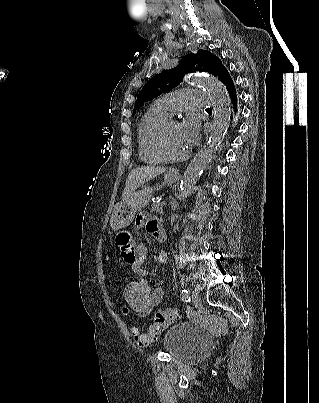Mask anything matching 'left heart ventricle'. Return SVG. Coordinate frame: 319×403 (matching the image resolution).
Instances as JSON below:
<instances>
[{"instance_id":"left-heart-ventricle-1","label":"left heart ventricle","mask_w":319,"mask_h":403,"mask_svg":"<svg viewBox=\"0 0 319 403\" xmlns=\"http://www.w3.org/2000/svg\"><path fill=\"white\" fill-rule=\"evenodd\" d=\"M166 147L172 155H181L188 151L181 138L180 125L178 123L169 127L166 133Z\"/></svg>"}]
</instances>
